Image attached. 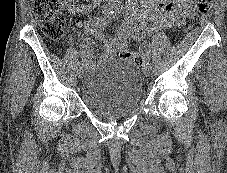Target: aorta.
<instances>
[{
  "instance_id": "obj_1",
  "label": "aorta",
  "mask_w": 227,
  "mask_h": 173,
  "mask_svg": "<svg viewBox=\"0 0 227 173\" xmlns=\"http://www.w3.org/2000/svg\"><path fill=\"white\" fill-rule=\"evenodd\" d=\"M111 1H113V2H121L122 0H111Z\"/></svg>"
}]
</instances>
